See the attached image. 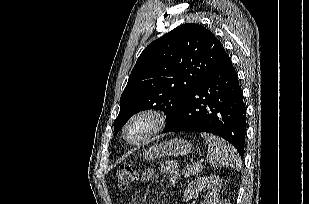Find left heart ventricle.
<instances>
[{
    "instance_id": "obj_1",
    "label": "left heart ventricle",
    "mask_w": 309,
    "mask_h": 204,
    "mask_svg": "<svg viewBox=\"0 0 309 204\" xmlns=\"http://www.w3.org/2000/svg\"><path fill=\"white\" fill-rule=\"evenodd\" d=\"M150 128L151 122L149 120H139L129 127L127 134L130 140H138L142 138Z\"/></svg>"
}]
</instances>
